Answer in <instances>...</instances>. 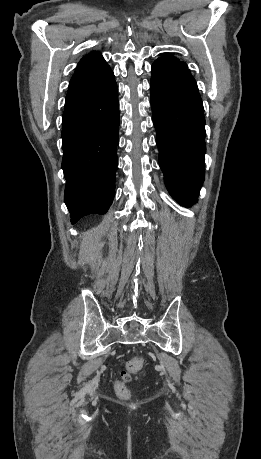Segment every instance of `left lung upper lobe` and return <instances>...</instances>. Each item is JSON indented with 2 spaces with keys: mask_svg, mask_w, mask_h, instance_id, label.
Returning <instances> with one entry per match:
<instances>
[{
  "mask_svg": "<svg viewBox=\"0 0 261 459\" xmlns=\"http://www.w3.org/2000/svg\"><path fill=\"white\" fill-rule=\"evenodd\" d=\"M155 62H164V63H169V64H177L181 65L184 67H187L186 63L178 60L176 57L170 54H163L162 57L158 58Z\"/></svg>",
  "mask_w": 261,
  "mask_h": 459,
  "instance_id": "5c2ea615",
  "label": "left lung upper lobe"
}]
</instances>
